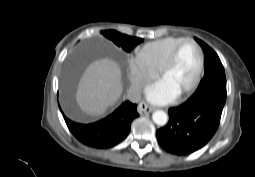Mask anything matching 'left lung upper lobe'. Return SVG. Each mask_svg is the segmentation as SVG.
<instances>
[{"instance_id": "5c2ea615", "label": "left lung upper lobe", "mask_w": 255, "mask_h": 177, "mask_svg": "<svg viewBox=\"0 0 255 177\" xmlns=\"http://www.w3.org/2000/svg\"><path fill=\"white\" fill-rule=\"evenodd\" d=\"M195 40L204 51L205 74L191 97L196 98L208 93H217L226 97L225 71L218 55L203 41L198 38H195Z\"/></svg>"}]
</instances>
